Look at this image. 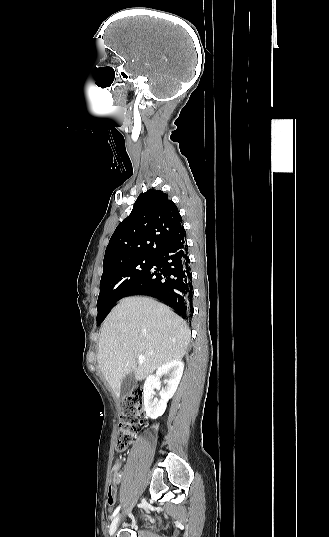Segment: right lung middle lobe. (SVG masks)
I'll list each match as a JSON object with an SVG mask.
<instances>
[{
    "label": "right lung middle lobe",
    "mask_w": 329,
    "mask_h": 537,
    "mask_svg": "<svg viewBox=\"0 0 329 537\" xmlns=\"http://www.w3.org/2000/svg\"><path fill=\"white\" fill-rule=\"evenodd\" d=\"M152 262V257H145L103 269L100 281V293L97 301V325L105 319L111 307L139 281Z\"/></svg>",
    "instance_id": "dd1d6c3e"
}]
</instances>
